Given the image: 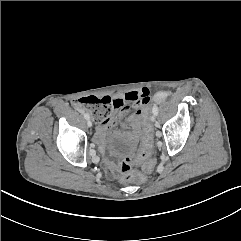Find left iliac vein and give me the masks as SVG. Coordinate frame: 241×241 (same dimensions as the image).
Instances as JSON below:
<instances>
[{
  "instance_id": "4c4485c4",
  "label": "left iliac vein",
  "mask_w": 241,
  "mask_h": 241,
  "mask_svg": "<svg viewBox=\"0 0 241 241\" xmlns=\"http://www.w3.org/2000/svg\"><path fill=\"white\" fill-rule=\"evenodd\" d=\"M151 121H152V122H155V114H153V115L151 116Z\"/></svg>"
}]
</instances>
